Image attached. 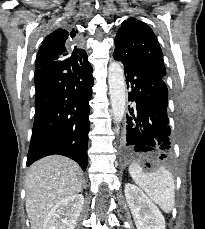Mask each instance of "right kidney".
I'll use <instances>...</instances> for the list:
<instances>
[{"mask_svg": "<svg viewBox=\"0 0 205 229\" xmlns=\"http://www.w3.org/2000/svg\"><path fill=\"white\" fill-rule=\"evenodd\" d=\"M83 204L82 194L60 200L47 214L43 229H74Z\"/></svg>", "mask_w": 205, "mask_h": 229, "instance_id": "1", "label": "right kidney"}]
</instances>
